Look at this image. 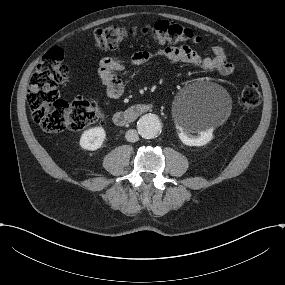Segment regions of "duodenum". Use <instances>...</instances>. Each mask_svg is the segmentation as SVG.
I'll list each match as a JSON object with an SVG mask.
<instances>
[{
    "instance_id": "obj_1",
    "label": "duodenum",
    "mask_w": 285,
    "mask_h": 285,
    "mask_svg": "<svg viewBox=\"0 0 285 285\" xmlns=\"http://www.w3.org/2000/svg\"><path fill=\"white\" fill-rule=\"evenodd\" d=\"M153 108L151 104L137 103L125 110L118 111L113 115V122L120 127H125L136 121L143 113Z\"/></svg>"
}]
</instances>
